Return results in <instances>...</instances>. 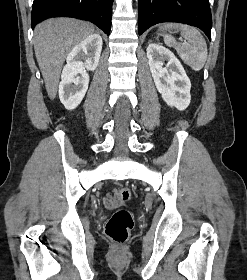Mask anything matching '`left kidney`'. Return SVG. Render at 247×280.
<instances>
[{
    "mask_svg": "<svg viewBox=\"0 0 247 280\" xmlns=\"http://www.w3.org/2000/svg\"><path fill=\"white\" fill-rule=\"evenodd\" d=\"M148 64L154 83L163 100L170 107L185 110L191 100V82L177 57L158 44L147 47ZM164 62L166 66L163 67Z\"/></svg>",
    "mask_w": 247,
    "mask_h": 280,
    "instance_id": "obj_1",
    "label": "left kidney"
}]
</instances>
